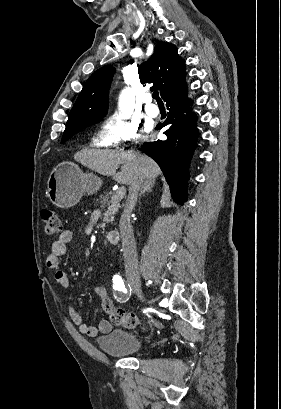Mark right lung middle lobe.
<instances>
[{
	"instance_id": "right-lung-middle-lobe-1",
	"label": "right lung middle lobe",
	"mask_w": 281,
	"mask_h": 409,
	"mask_svg": "<svg viewBox=\"0 0 281 409\" xmlns=\"http://www.w3.org/2000/svg\"><path fill=\"white\" fill-rule=\"evenodd\" d=\"M99 121H100V120H98V121H96V122H93V123H90V124H87V125H84V126H80V127H67V128L65 129L64 133H63V137H62L61 143H64L65 141H67L68 139H70L73 135H75L76 133H78L80 130H82V129L88 127V126H91V125H93V124H95V123H97V122H99Z\"/></svg>"
}]
</instances>
